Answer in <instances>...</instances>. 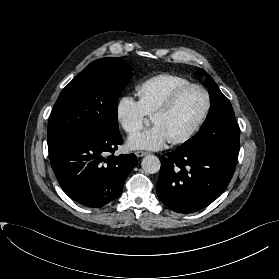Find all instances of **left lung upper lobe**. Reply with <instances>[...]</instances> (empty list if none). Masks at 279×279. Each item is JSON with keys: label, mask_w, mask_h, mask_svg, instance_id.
<instances>
[{"label": "left lung upper lobe", "mask_w": 279, "mask_h": 279, "mask_svg": "<svg viewBox=\"0 0 279 279\" xmlns=\"http://www.w3.org/2000/svg\"><path fill=\"white\" fill-rule=\"evenodd\" d=\"M201 70L208 79L210 112L200 131L178 150L187 154L211 151L236 159L239 153L240 128L232 105L211 76Z\"/></svg>", "instance_id": "obj_1"}]
</instances>
